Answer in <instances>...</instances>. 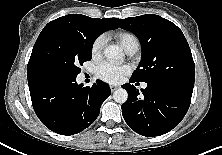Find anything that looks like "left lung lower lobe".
<instances>
[{"mask_svg": "<svg viewBox=\"0 0 222 155\" xmlns=\"http://www.w3.org/2000/svg\"><path fill=\"white\" fill-rule=\"evenodd\" d=\"M135 82L132 78L130 83ZM128 100L122 104L126 123L146 137L163 135L175 128L190 106L193 90L168 83H147L142 93L129 83L122 86Z\"/></svg>", "mask_w": 222, "mask_h": 155, "instance_id": "0a47b994", "label": "left lung lower lobe"}]
</instances>
